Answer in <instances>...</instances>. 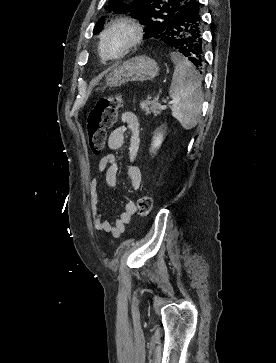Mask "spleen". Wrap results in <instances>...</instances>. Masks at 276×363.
Listing matches in <instances>:
<instances>
[{
	"instance_id": "1",
	"label": "spleen",
	"mask_w": 276,
	"mask_h": 363,
	"mask_svg": "<svg viewBox=\"0 0 276 363\" xmlns=\"http://www.w3.org/2000/svg\"><path fill=\"white\" fill-rule=\"evenodd\" d=\"M175 70L170 86V96L173 100L172 116L181 126L190 130L201 118L203 93L201 79L187 58L178 52L171 54Z\"/></svg>"
}]
</instances>
